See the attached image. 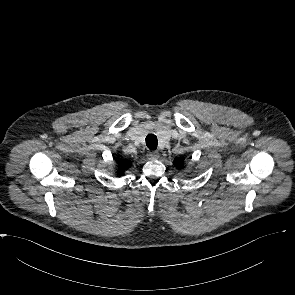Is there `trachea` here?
<instances>
[{
  "instance_id": "trachea-1",
  "label": "trachea",
  "mask_w": 295,
  "mask_h": 295,
  "mask_svg": "<svg viewBox=\"0 0 295 295\" xmlns=\"http://www.w3.org/2000/svg\"><path fill=\"white\" fill-rule=\"evenodd\" d=\"M146 145L149 149L155 150L158 145V140L157 137L154 134H149L146 137Z\"/></svg>"
}]
</instances>
